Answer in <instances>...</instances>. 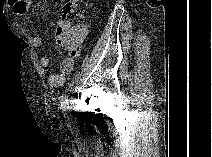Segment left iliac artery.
<instances>
[{
	"instance_id": "44dca946",
	"label": "left iliac artery",
	"mask_w": 212,
	"mask_h": 157,
	"mask_svg": "<svg viewBox=\"0 0 212 157\" xmlns=\"http://www.w3.org/2000/svg\"><path fill=\"white\" fill-rule=\"evenodd\" d=\"M61 106L64 109L68 107V97L66 95L62 96Z\"/></svg>"
}]
</instances>
